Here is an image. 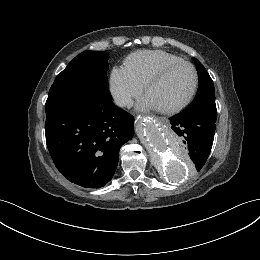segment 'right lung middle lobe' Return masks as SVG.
<instances>
[{
	"instance_id": "1",
	"label": "right lung middle lobe",
	"mask_w": 260,
	"mask_h": 260,
	"mask_svg": "<svg viewBox=\"0 0 260 260\" xmlns=\"http://www.w3.org/2000/svg\"><path fill=\"white\" fill-rule=\"evenodd\" d=\"M109 55L105 51H84L77 55L57 75L52 84L46 105L75 98L88 99L107 89Z\"/></svg>"
}]
</instances>
